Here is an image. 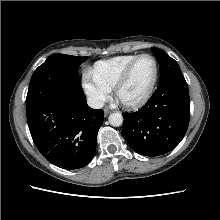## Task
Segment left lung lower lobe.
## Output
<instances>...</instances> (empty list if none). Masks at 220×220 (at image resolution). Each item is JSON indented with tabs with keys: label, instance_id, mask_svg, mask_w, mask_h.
I'll use <instances>...</instances> for the list:
<instances>
[{
	"label": "left lung lower lobe",
	"instance_id": "0a47b994",
	"mask_svg": "<svg viewBox=\"0 0 220 220\" xmlns=\"http://www.w3.org/2000/svg\"><path fill=\"white\" fill-rule=\"evenodd\" d=\"M190 98L184 77L158 85L137 112L123 113L122 134L139 154L158 156L173 150L189 124Z\"/></svg>",
	"mask_w": 220,
	"mask_h": 220
}]
</instances>
